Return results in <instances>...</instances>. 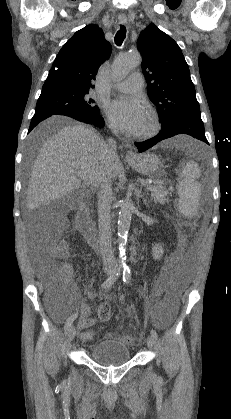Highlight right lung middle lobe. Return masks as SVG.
<instances>
[{
	"label": "right lung middle lobe",
	"mask_w": 231,
	"mask_h": 419,
	"mask_svg": "<svg viewBox=\"0 0 231 419\" xmlns=\"http://www.w3.org/2000/svg\"><path fill=\"white\" fill-rule=\"evenodd\" d=\"M88 89L64 85L43 86L35 112L65 115L74 119H90L100 114L94 100L88 97Z\"/></svg>",
	"instance_id": "obj_1"
}]
</instances>
